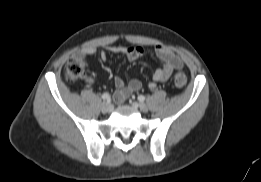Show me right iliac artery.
Segmentation results:
<instances>
[{"label": "right iliac artery", "instance_id": "obj_1", "mask_svg": "<svg viewBox=\"0 0 261 182\" xmlns=\"http://www.w3.org/2000/svg\"><path fill=\"white\" fill-rule=\"evenodd\" d=\"M102 99L109 101V100H110V94L107 93V92H106V93H103V94H102Z\"/></svg>", "mask_w": 261, "mask_h": 182}]
</instances>
